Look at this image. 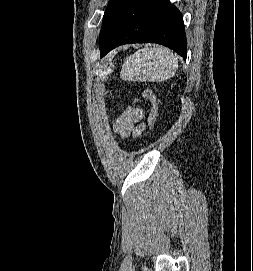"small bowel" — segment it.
I'll return each mask as SVG.
<instances>
[{"label": "small bowel", "mask_w": 253, "mask_h": 271, "mask_svg": "<svg viewBox=\"0 0 253 271\" xmlns=\"http://www.w3.org/2000/svg\"><path fill=\"white\" fill-rule=\"evenodd\" d=\"M143 117L141 109L133 106L126 108L115 122L116 133L122 139L140 137L145 130V124L141 122Z\"/></svg>", "instance_id": "obj_1"}]
</instances>
